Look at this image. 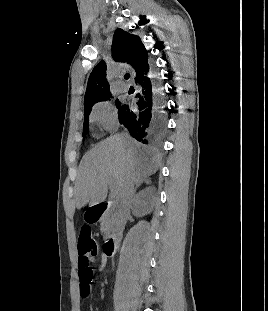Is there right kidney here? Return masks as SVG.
<instances>
[{"instance_id":"ca27d5eb","label":"right kidney","mask_w":268,"mask_h":311,"mask_svg":"<svg viewBox=\"0 0 268 311\" xmlns=\"http://www.w3.org/2000/svg\"><path fill=\"white\" fill-rule=\"evenodd\" d=\"M155 191V187L150 186L139 192L134 200V215L141 217L152 212L156 201Z\"/></svg>"}]
</instances>
